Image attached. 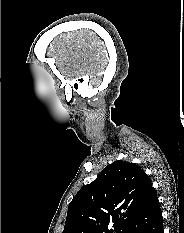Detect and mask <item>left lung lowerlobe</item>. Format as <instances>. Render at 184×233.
I'll use <instances>...</instances> for the list:
<instances>
[{"label":"left lung lower lobe","instance_id":"1","mask_svg":"<svg viewBox=\"0 0 184 233\" xmlns=\"http://www.w3.org/2000/svg\"><path fill=\"white\" fill-rule=\"evenodd\" d=\"M128 233H164L162 212L155 190L148 196Z\"/></svg>","mask_w":184,"mask_h":233}]
</instances>
